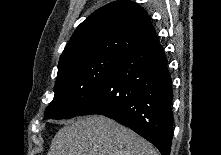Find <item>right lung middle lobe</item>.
I'll list each match as a JSON object with an SVG mask.
<instances>
[{
    "label": "right lung middle lobe",
    "mask_w": 221,
    "mask_h": 155,
    "mask_svg": "<svg viewBox=\"0 0 221 155\" xmlns=\"http://www.w3.org/2000/svg\"><path fill=\"white\" fill-rule=\"evenodd\" d=\"M123 57L117 53H102L78 59L59 70L54 99L46 108L44 119L79 115Z\"/></svg>",
    "instance_id": "right-lung-middle-lobe-1"
}]
</instances>
